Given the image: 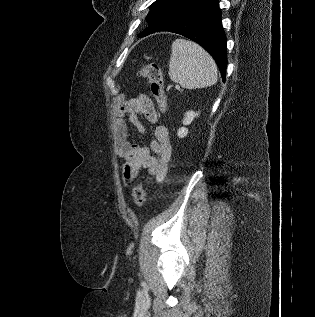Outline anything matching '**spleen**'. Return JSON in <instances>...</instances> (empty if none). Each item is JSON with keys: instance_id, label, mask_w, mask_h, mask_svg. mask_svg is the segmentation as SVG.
<instances>
[{"instance_id": "spleen-1", "label": "spleen", "mask_w": 315, "mask_h": 317, "mask_svg": "<svg viewBox=\"0 0 315 317\" xmlns=\"http://www.w3.org/2000/svg\"><path fill=\"white\" fill-rule=\"evenodd\" d=\"M169 76L185 89L204 88L217 82V66L197 43L176 39L171 46Z\"/></svg>"}]
</instances>
